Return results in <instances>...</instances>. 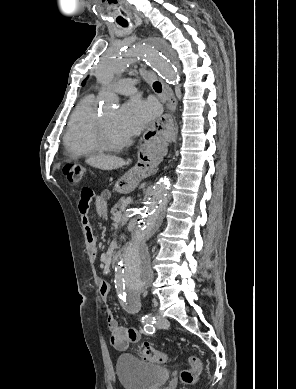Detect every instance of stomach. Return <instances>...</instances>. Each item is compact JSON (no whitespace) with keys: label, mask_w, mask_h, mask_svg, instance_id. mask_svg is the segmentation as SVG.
Returning a JSON list of instances; mask_svg holds the SVG:
<instances>
[{"label":"stomach","mask_w":296,"mask_h":389,"mask_svg":"<svg viewBox=\"0 0 296 389\" xmlns=\"http://www.w3.org/2000/svg\"><path fill=\"white\" fill-rule=\"evenodd\" d=\"M152 169H129L127 171V178L122 177L115 184V190L119 193L131 191L132 188L139 183V180L150 176Z\"/></svg>","instance_id":"stomach-1"}]
</instances>
